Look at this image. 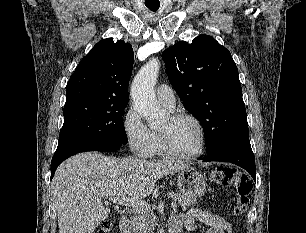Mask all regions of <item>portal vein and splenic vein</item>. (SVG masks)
<instances>
[{
	"instance_id": "portal-vein-and-splenic-vein-1",
	"label": "portal vein and splenic vein",
	"mask_w": 306,
	"mask_h": 233,
	"mask_svg": "<svg viewBox=\"0 0 306 233\" xmlns=\"http://www.w3.org/2000/svg\"><path fill=\"white\" fill-rule=\"evenodd\" d=\"M109 199H111L115 204L132 206L139 210H150V205L146 201L137 198H127L123 193H118L116 197H109ZM171 207L176 208L177 202H172Z\"/></svg>"
}]
</instances>
